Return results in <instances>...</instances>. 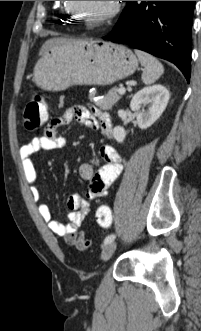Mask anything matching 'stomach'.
Listing matches in <instances>:
<instances>
[{
    "instance_id": "obj_1",
    "label": "stomach",
    "mask_w": 201,
    "mask_h": 331,
    "mask_svg": "<svg viewBox=\"0 0 201 331\" xmlns=\"http://www.w3.org/2000/svg\"><path fill=\"white\" fill-rule=\"evenodd\" d=\"M138 59L126 46L101 39L68 40L46 50L34 81L47 91L72 85H110L135 72Z\"/></svg>"
}]
</instances>
